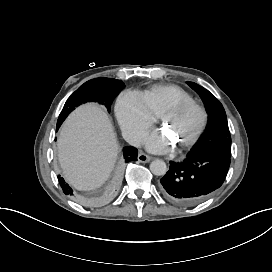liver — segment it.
Instances as JSON below:
<instances>
[{
	"label": "liver",
	"instance_id": "liver-1",
	"mask_svg": "<svg viewBox=\"0 0 272 272\" xmlns=\"http://www.w3.org/2000/svg\"><path fill=\"white\" fill-rule=\"evenodd\" d=\"M57 149L66 182L79 191H91L109 178L119 146L108 114L97 104L89 103L66 119Z\"/></svg>",
	"mask_w": 272,
	"mask_h": 272
}]
</instances>
